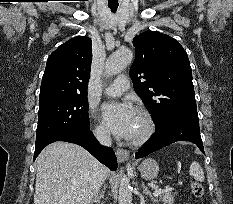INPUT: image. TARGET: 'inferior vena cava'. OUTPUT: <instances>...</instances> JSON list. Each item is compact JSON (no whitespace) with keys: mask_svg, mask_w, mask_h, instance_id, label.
Instances as JSON below:
<instances>
[{"mask_svg":"<svg viewBox=\"0 0 233 204\" xmlns=\"http://www.w3.org/2000/svg\"><path fill=\"white\" fill-rule=\"evenodd\" d=\"M95 136L100 144L108 146V147L111 146V137H110L109 132L98 131V132H96Z\"/></svg>","mask_w":233,"mask_h":204,"instance_id":"1","label":"inferior vena cava"}]
</instances>
